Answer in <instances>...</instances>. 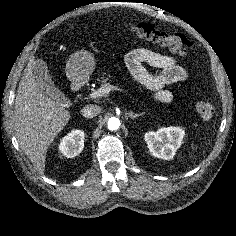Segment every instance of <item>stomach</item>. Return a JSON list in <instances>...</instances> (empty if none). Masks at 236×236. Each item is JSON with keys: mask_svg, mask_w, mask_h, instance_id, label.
Masks as SVG:
<instances>
[{"mask_svg": "<svg viewBox=\"0 0 236 236\" xmlns=\"http://www.w3.org/2000/svg\"><path fill=\"white\" fill-rule=\"evenodd\" d=\"M94 68L95 61L93 55L81 50L69 58L66 64V74L72 81H83L92 74Z\"/></svg>", "mask_w": 236, "mask_h": 236, "instance_id": "obj_1", "label": "stomach"}]
</instances>
